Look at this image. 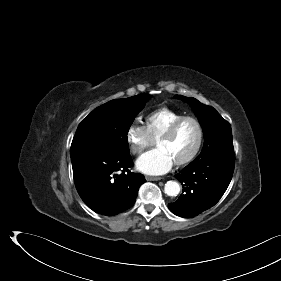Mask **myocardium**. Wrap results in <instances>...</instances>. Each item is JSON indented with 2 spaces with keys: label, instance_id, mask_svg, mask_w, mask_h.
Here are the masks:
<instances>
[{
  "label": "myocardium",
  "instance_id": "1",
  "mask_svg": "<svg viewBox=\"0 0 281 281\" xmlns=\"http://www.w3.org/2000/svg\"><path fill=\"white\" fill-rule=\"evenodd\" d=\"M187 120H191L196 124L198 128V140L195 148L187 157L175 162L177 166H184L191 163L199 154L204 140V129L200 120L197 117L191 115L181 116L180 118L176 119L157 140V143H159L160 141L172 138L179 126Z\"/></svg>",
  "mask_w": 281,
  "mask_h": 281
}]
</instances>
